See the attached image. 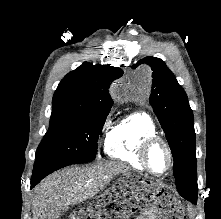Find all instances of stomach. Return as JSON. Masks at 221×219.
Wrapping results in <instances>:
<instances>
[{"instance_id": "0dacf381", "label": "stomach", "mask_w": 221, "mask_h": 219, "mask_svg": "<svg viewBox=\"0 0 221 219\" xmlns=\"http://www.w3.org/2000/svg\"><path fill=\"white\" fill-rule=\"evenodd\" d=\"M152 194H148V199H170V190H163L159 184L153 183Z\"/></svg>"}]
</instances>
